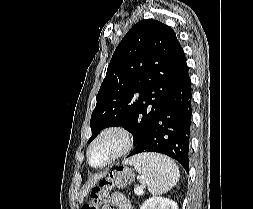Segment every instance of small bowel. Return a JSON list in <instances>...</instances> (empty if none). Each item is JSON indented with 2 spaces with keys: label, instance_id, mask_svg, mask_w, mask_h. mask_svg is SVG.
<instances>
[{
  "label": "small bowel",
  "instance_id": "1",
  "mask_svg": "<svg viewBox=\"0 0 253 209\" xmlns=\"http://www.w3.org/2000/svg\"><path fill=\"white\" fill-rule=\"evenodd\" d=\"M103 209H133L130 201L120 193L112 196V205L105 206Z\"/></svg>",
  "mask_w": 253,
  "mask_h": 209
}]
</instances>
